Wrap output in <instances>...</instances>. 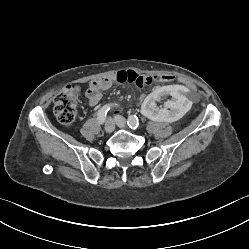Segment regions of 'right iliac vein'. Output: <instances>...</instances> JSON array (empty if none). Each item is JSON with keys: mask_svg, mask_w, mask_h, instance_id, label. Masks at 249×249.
<instances>
[{"mask_svg": "<svg viewBox=\"0 0 249 249\" xmlns=\"http://www.w3.org/2000/svg\"><path fill=\"white\" fill-rule=\"evenodd\" d=\"M115 129V123L114 120L112 118L107 119L106 123H105V127L104 130L106 133H112Z\"/></svg>", "mask_w": 249, "mask_h": 249, "instance_id": "right-iliac-vein-1", "label": "right iliac vein"}]
</instances>
